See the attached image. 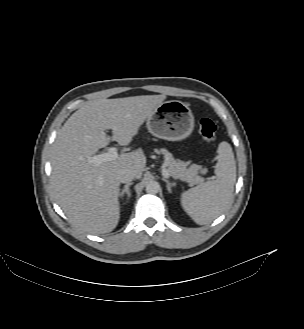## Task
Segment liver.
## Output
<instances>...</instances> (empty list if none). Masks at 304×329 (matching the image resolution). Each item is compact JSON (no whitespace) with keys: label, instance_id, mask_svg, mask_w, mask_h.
<instances>
[{"label":"liver","instance_id":"1","mask_svg":"<svg viewBox=\"0 0 304 329\" xmlns=\"http://www.w3.org/2000/svg\"><path fill=\"white\" fill-rule=\"evenodd\" d=\"M165 95H142L88 102L59 130L53 144L51 185L70 222L90 234L111 232L120 218L118 172L131 170L140 179L146 166L141 149L95 166L88 162L109 142L128 145ZM112 129L110 137L105 130Z\"/></svg>","mask_w":304,"mask_h":329}]
</instances>
